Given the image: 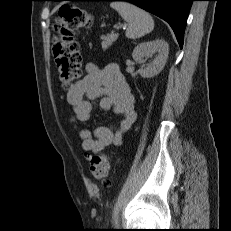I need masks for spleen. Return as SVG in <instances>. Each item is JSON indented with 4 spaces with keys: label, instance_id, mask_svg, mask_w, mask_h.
I'll return each mask as SVG.
<instances>
[{
    "label": "spleen",
    "instance_id": "obj_1",
    "mask_svg": "<svg viewBox=\"0 0 231 231\" xmlns=\"http://www.w3.org/2000/svg\"><path fill=\"white\" fill-rule=\"evenodd\" d=\"M110 6L128 23L126 37L137 39L154 29L152 16L143 9L127 2H111Z\"/></svg>",
    "mask_w": 231,
    "mask_h": 231
}]
</instances>
